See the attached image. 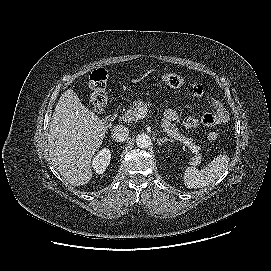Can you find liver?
Returning a JSON list of instances; mask_svg holds the SVG:
<instances>
[{
	"instance_id": "liver-1",
	"label": "liver",
	"mask_w": 271,
	"mask_h": 271,
	"mask_svg": "<svg viewBox=\"0 0 271 271\" xmlns=\"http://www.w3.org/2000/svg\"><path fill=\"white\" fill-rule=\"evenodd\" d=\"M102 120L86 108L70 88L59 98L48 133L52 164L71 185L87 184L92 175V157L105 138Z\"/></svg>"
}]
</instances>
